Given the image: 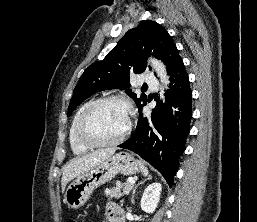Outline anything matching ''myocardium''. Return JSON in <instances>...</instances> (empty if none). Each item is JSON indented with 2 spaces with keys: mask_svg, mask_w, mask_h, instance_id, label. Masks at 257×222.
<instances>
[{
  "mask_svg": "<svg viewBox=\"0 0 257 222\" xmlns=\"http://www.w3.org/2000/svg\"><path fill=\"white\" fill-rule=\"evenodd\" d=\"M109 102H118L124 105L129 113V120H128V125L125 129V131L116 139L111 140V141H98L91 137L85 129L86 123L90 115L100 106L103 104L109 103ZM133 126V121H132V108L130 102L122 97V96H117V95H111L107 97L100 98L96 101H93L81 114L77 127H76V136L77 139L84 145L91 147V148H103V147H111V146H116L120 143H122L130 134Z\"/></svg>",
  "mask_w": 257,
  "mask_h": 222,
  "instance_id": "myocardium-1",
  "label": "myocardium"
}]
</instances>
